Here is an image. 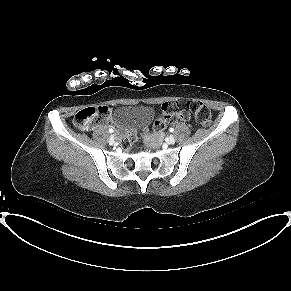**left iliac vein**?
Wrapping results in <instances>:
<instances>
[{
    "mask_svg": "<svg viewBox=\"0 0 291 291\" xmlns=\"http://www.w3.org/2000/svg\"><path fill=\"white\" fill-rule=\"evenodd\" d=\"M175 141H176V139H175V137H174L173 135H170V136L168 137V143H169V144H174Z\"/></svg>",
    "mask_w": 291,
    "mask_h": 291,
    "instance_id": "4c4485c4",
    "label": "left iliac vein"
}]
</instances>
